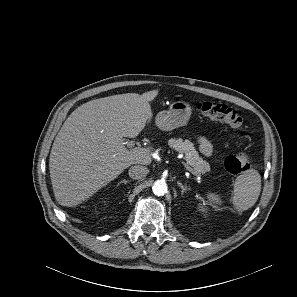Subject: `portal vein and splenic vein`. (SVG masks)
Returning a JSON list of instances; mask_svg holds the SVG:
<instances>
[{"mask_svg":"<svg viewBox=\"0 0 297 297\" xmlns=\"http://www.w3.org/2000/svg\"><path fill=\"white\" fill-rule=\"evenodd\" d=\"M124 144L127 145V147L131 148L134 146L133 141H129V142H124ZM183 166L186 168L187 171L191 172L193 175L195 176H199L198 173H196L190 166H188L187 163H185L184 161L182 162Z\"/></svg>","mask_w":297,"mask_h":297,"instance_id":"1","label":"portal vein and splenic vein"}]
</instances>
